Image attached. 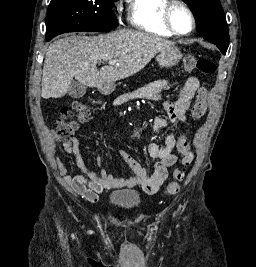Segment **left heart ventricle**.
<instances>
[{
	"mask_svg": "<svg viewBox=\"0 0 256 267\" xmlns=\"http://www.w3.org/2000/svg\"><path fill=\"white\" fill-rule=\"evenodd\" d=\"M171 18L176 29L181 33H186L190 30L191 21L189 14L181 7L174 5L171 10Z\"/></svg>",
	"mask_w": 256,
	"mask_h": 267,
	"instance_id": "obj_1",
	"label": "left heart ventricle"
}]
</instances>
